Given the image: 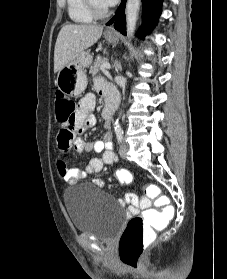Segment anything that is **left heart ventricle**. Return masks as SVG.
Wrapping results in <instances>:
<instances>
[{"mask_svg":"<svg viewBox=\"0 0 227 279\" xmlns=\"http://www.w3.org/2000/svg\"><path fill=\"white\" fill-rule=\"evenodd\" d=\"M94 3L100 9H104L108 7V5L105 3L104 0H94Z\"/></svg>","mask_w":227,"mask_h":279,"instance_id":"1","label":"left heart ventricle"}]
</instances>
